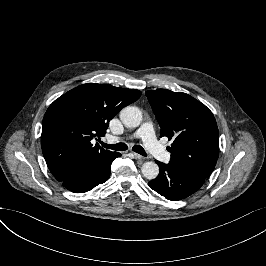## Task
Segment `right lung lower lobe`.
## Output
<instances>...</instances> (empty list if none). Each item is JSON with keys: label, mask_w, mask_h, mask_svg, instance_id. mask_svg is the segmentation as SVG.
<instances>
[{"label": "right lung lower lobe", "mask_w": 266, "mask_h": 266, "mask_svg": "<svg viewBox=\"0 0 266 266\" xmlns=\"http://www.w3.org/2000/svg\"><path fill=\"white\" fill-rule=\"evenodd\" d=\"M120 155V153L112 152L105 157L82 162L61 183L72 192H87L108 180L111 163Z\"/></svg>", "instance_id": "1"}]
</instances>
